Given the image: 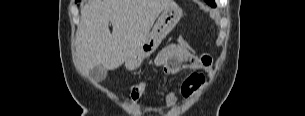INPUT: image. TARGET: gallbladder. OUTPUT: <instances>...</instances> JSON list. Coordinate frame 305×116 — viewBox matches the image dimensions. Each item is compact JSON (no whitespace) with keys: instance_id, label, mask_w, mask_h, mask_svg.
Here are the masks:
<instances>
[{"instance_id":"gallbladder-1","label":"gallbladder","mask_w":305,"mask_h":116,"mask_svg":"<svg viewBox=\"0 0 305 116\" xmlns=\"http://www.w3.org/2000/svg\"><path fill=\"white\" fill-rule=\"evenodd\" d=\"M89 76L91 80L95 82H101L105 80L107 76V69L104 68L102 65L95 66L90 70Z\"/></svg>"}]
</instances>
